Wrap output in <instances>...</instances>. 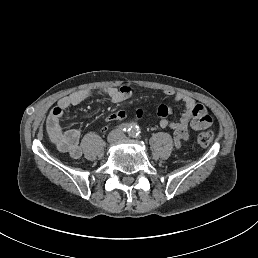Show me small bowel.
<instances>
[{
  "instance_id": "c3829d8e",
  "label": "small bowel",
  "mask_w": 258,
  "mask_h": 258,
  "mask_svg": "<svg viewBox=\"0 0 258 258\" xmlns=\"http://www.w3.org/2000/svg\"><path fill=\"white\" fill-rule=\"evenodd\" d=\"M133 88L128 85L121 87H109L100 90L87 89L73 92L61 98L52 108L47 119L46 128L51 142L64 153H68L72 158H79L82 155L80 146V132L77 129H63L62 118L64 112L72 107L79 105L83 101L96 96L103 95L113 103H120L129 99L133 95ZM164 94L173 99L171 105H159L157 115L160 118L162 128H171L174 131V143L179 147L182 141L189 138V129L198 131L208 128L212 125L213 119L207 109L196 103V101L187 94L176 92L174 90H165ZM182 103L183 112L178 121L170 120L168 117L172 114L174 104ZM138 117L144 116V110L139 109ZM126 118V112L119 110L107 116L106 122L121 121Z\"/></svg>"
}]
</instances>
